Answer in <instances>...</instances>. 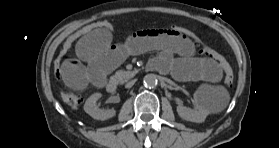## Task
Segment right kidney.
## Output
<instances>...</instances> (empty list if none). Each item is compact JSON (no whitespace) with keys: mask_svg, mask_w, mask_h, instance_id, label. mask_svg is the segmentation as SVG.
<instances>
[{"mask_svg":"<svg viewBox=\"0 0 279 148\" xmlns=\"http://www.w3.org/2000/svg\"><path fill=\"white\" fill-rule=\"evenodd\" d=\"M101 93L92 94L84 104V110L87 114H89L92 118L97 120H107L116 115V111L114 109H100L96 105V102L99 98H101Z\"/></svg>","mask_w":279,"mask_h":148,"instance_id":"1","label":"right kidney"}]
</instances>
